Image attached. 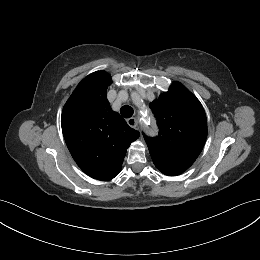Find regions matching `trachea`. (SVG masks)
Instances as JSON below:
<instances>
[{
	"instance_id": "obj_1",
	"label": "trachea",
	"mask_w": 260,
	"mask_h": 260,
	"mask_svg": "<svg viewBox=\"0 0 260 260\" xmlns=\"http://www.w3.org/2000/svg\"><path fill=\"white\" fill-rule=\"evenodd\" d=\"M121 115L124 117V118H130L133 113H134V110L131 106L129 105H124L121 107Z\"/></svg>"
}]
</instances>
